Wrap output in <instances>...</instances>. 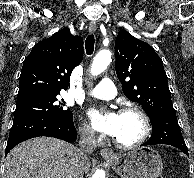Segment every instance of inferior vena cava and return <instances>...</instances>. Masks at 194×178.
Wrapping results in <instances>:
<instances>
[{"instance_id": "1", "label": "inferior vena cava", "mask_w": 194, "mask_h": 178, "mask_svg": "<svg viewBox=\"0 0 194 178\" xmlns=\"http://www.w3.org/2000/svg\"><path fill=\"white\" fill-rule=\"evenodd\" d=\"M79 152H80V162L73 173L72 178H83L84 166L88 161V154L92 153L97 147V141L94 133L88 130L80 131V141H79Z\"/></svg>"}]
</instances>
